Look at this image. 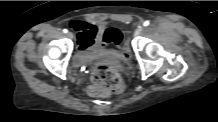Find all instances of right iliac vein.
<instances>
[{
  "instance_id": "1",
  "label": "right iliac vein",
  "mask_w": 218,
  "mask_h": 122,
  "mask_svg": "<svg viewBox=\"0 0 218 122\" xmlns=\"http://www.w3.org/2000/svg\"><path fill=\"white\" fill-rule=\"evenodd\" d=\"M67 37L70 38V39H72V38L74 37V35H73V33L68 32V33H67Z\"/></svg>"
}]
</instances>
